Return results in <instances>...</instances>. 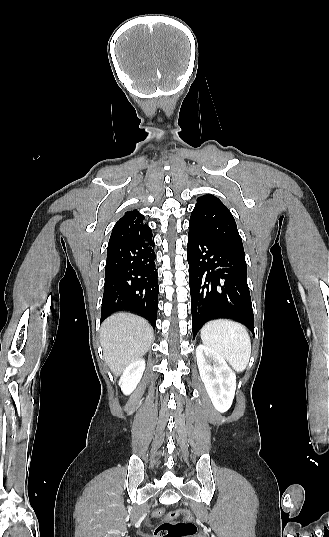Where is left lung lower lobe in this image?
Here are the masks:
<instances>
[{"label": "left lung lower lobe", "instance_id": "1", "mask_svg": "<svg viewBox=\"0 0 329 537\" xmlns=\"http://www.w3.org/2000/svg\"><path fill=\"white\" fill-rule=\"evenodd\" d=\"M187 259L193 337L208 321L231 318L254 334L245 254L189 225Z\"/></svg>", "mask_w": 329, "mask_h": 537}]
</instances>
